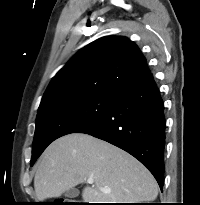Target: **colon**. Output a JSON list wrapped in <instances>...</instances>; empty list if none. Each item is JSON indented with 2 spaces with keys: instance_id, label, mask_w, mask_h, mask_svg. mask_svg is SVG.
Returning <instances> with one entry per match:
<instances>
[{
  "instance_id": "obj_1",
  "label": "colon",
  "mask_w": 200,
  "mask_h": 205,
  "mask_svg": "<svg viewBox=\"0 0 200 205\" xmlns=\"http://www.w3.org/2000/svg\"><path fill=\"white\" fill-rule=\"evenodd\" d=\"M55 205H75V203L71 202L70 200H61L57 202Z\"/></svg>"
}]
</instances>
